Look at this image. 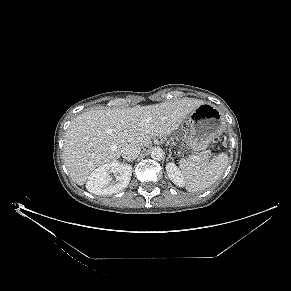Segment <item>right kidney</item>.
I'll return each mask as SVG.
<instances>
[{"label": "right kidney", "instance_id": "obj_1", "mask_svg": "<svg viewBox=\"0 0 291 291\" xmlns=\"http://www.w3.org/2000/svg\"><path fill=\"white\" fill-rule=\"evenodd\" d=\"M110 173L116 180L112 181ZM132 167L117 161L99 166L89 176L86 188L96 195H108L122 191L131 180Z\"/></svg>", "mask_w": 291, "mask_h": 291}]
</instances>
